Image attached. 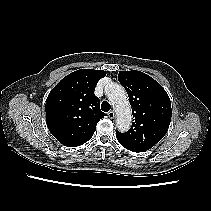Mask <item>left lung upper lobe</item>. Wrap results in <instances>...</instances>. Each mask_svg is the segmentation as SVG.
<instances>
[{"mask_svg": "<svg viewBox=\"0 0 211 211\" xmlns=\"http://www.w3.org/2000/svg\"><path fill=\"white\" fill-rule=\"evenodd\" d=\"M118 80L126 89L133 120L126 133L116 132L117 140L133 152H145L167 133L171 121V102L164 88L149 75L120 71Z\"/></svg>", "mask_w": 211, "mask_h": 211, "instance_id": "left-lung-upper-lobe-1", "label": "left lung upper lobe"}]
</instances>
